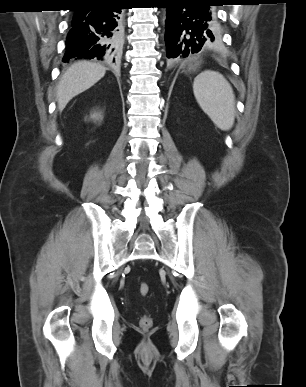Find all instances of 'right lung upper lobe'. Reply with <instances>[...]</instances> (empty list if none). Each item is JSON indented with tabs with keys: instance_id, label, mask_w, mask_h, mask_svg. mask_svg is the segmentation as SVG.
Wrapping results in <instances>:
<instances>
[{
	"instance_id": "cb5924a9",
	"label": "right lung upper lobe",
	"mask_w": 306,
	"mask_h": 387,
	"mask_svg": "<svg viewBox=\"0 0 306 387\" xmlns=\"http://www.w3.org/2000/svg\"><path fill=\"white\" fill-rule=\"evenodd\" d=\"M80 3L87 4V3H96L102 0H78Z\"/></svg>"
}]
</instances>
